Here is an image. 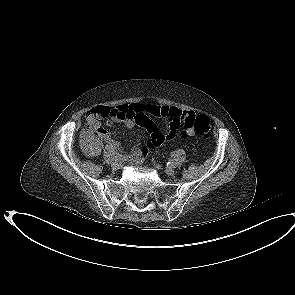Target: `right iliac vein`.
I'll return each mask as SVG.
<instances>
[{
  "mask_svg": "<svg viewBox=\"0 0 295 295\" xmlns=\"http://www.w3.org/2000/svg\"><path fill=\"white\" fill-rule=\"evenodd\" d=\"M113 170H118L121 167V164L118 161H115L111 164Z\"/></svg>",
  "mask_w": 295,
  "mask_h": 295,
  "instance_id": "right-iliac-vein-1",
  "label": "right iliac vein"
}]
</instances>
